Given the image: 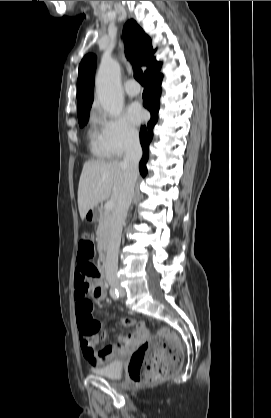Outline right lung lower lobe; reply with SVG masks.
Returning a JSON list of instances; mask_svg holds the SVG:
<instances>
[{
  "instance_id": "right-lung-lower-lobe-1",
  "label": "right lung lower lobe",
  "mask_w": 271,
  "mask_h": 418,
  "mask_svg": "<svg viewBox=\"0 0 271 418\" xmlns=\"http://www.w3.org/2000/svg\"><path fill=\"white\" fill-rule=\"evenodd\" d=\"M160 67L145 74V90L143 93V104L150 111L151 119L148 124L141 127L140 142L143 149V157L139 164L141 175L147 174L146 162L149 152L148 146L153 137V128L158 120L159 98L161 94V82L163 75L160 74Z\"/></svg>"
}]
</instances>
